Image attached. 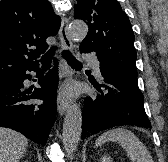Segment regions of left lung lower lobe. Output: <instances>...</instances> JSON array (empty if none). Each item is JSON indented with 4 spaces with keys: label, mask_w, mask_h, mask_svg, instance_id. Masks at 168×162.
I'll list each match as a JSON object with an SVG mask.
<instances>
[{
    "label": "left lung lower lobe",
    "mask_w": 168,
    "mask_h": 162,
    "mask_svg": "<svg viewBox=\"0 0 168 162\" xmlns=\"http://www.w3.org/2000/svg\"><path fill=\"white\" fill-rule=\"evenodd\" d=\"M99 62L103 84L96 88L102 94L85 99L81 138L114 126L133 125L151 129L137 76Z\"/></svg>",
    "instance_id": "obj_1"
}]
</instances>
